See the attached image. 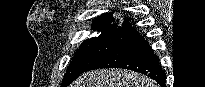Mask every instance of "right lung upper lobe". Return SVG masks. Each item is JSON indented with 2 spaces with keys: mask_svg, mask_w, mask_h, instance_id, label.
Instances as JSON below:
<instances>
[{
  "mask_svg": "<svg viewBox=\"0 0 205 87\" xmlns=\"http://www.w3.org/2000/svg\"><path fill=\"white\" fill-rule=\"evenodd\" d=\"M114 22L115 18L113 17L112 12L104 13L93 22L92 29L102 32H125L132 35L138 33L128 20H125L122 26H117Z\"/></svg>",
  "mask_w": 205,
  "mask_h": 87,
  "instance_id": "cb5924a9",
  "label": "right lung upper lobe"
}]
</instances>
